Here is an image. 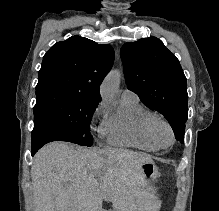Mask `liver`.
<instances>
[{
  "label": "liver",
  "instance_id": "1",
  "mask_svg": "<svg viewBox=\"0 0 219 211\" xmlns=\"http://www.w3.org/2000/svg\"><path fill=\"white\" fill-rule=\"evenodd\" d=\"M147 153L129 149H74L51 141L34 155L31 165L34 211H151V193L142 183Z\"/></svg>",
  "mask_w": 219,
  "mask_h": 211
}]
</instances>
